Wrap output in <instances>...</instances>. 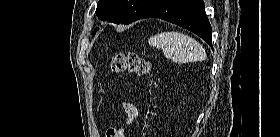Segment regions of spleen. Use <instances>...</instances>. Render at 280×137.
I'll return each instance as SVG.
<instances>
[{"mask_svg":"<svg viewBox=\"0 0 280 137\" xmlns=\"http://www.w3.org/2000/svg\"><path fill=\"white\" fill-rule=\"evenodd\" d=\"M149 45L162 49L166 58L176 63L203 61L206 53L194 38L175 31L162 32L152 36Z\"/></svg>","mask_w":280,"mask_h":137,"instance_id":"3e777b00","label":"spleen"}]
</instances>
